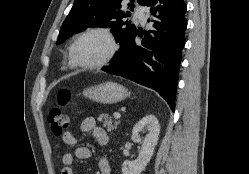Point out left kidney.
Returning <instances> with one entry per match:
<instances>
[{
    "mask_svg": "<svg viewBox=\"0 0 249 174\" xmlns=\"http://www.w3.org/2000/svg\"><path fill=\"white\" fill-rule=\"evenodd\" d=\"M144 129L148 130V134L144 140L140 138V132ZM160 133V125L155 115H147L143 117L132 130V141L141 143L139 157L134 161H124L122 165V174H141L150 162L154 153L155 146L158 142Z\"/></svg>",
    "mask_w": 249,
    "mask_h": 174,
    "instance_id": "obj_1",
    "label": "left kidney"
}]
</instances>
